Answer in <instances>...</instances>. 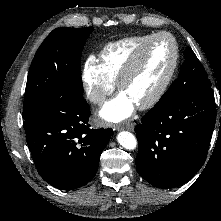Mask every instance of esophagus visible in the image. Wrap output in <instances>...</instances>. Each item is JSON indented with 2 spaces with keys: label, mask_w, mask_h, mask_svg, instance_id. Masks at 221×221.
<instances>
[{
  "label": "esophagus",
  "mask_w": 221,
  "mask_h": 221,
  "mask_svg": "<svg viewBox=\"0 0 221 221\" xmlns=\"http://www.w3.org/2000/svg\"><path fill=\"white\" fill-rule=\"evenodd\" d=\"M122 129H127V130H130V131H133L134 130V124L126 123V124H123V125H120V126L117 127V130H122Z\"/></svg>",
  "instance_id": "obj_1"
}]
</instances>
